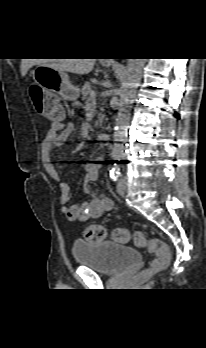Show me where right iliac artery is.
Returning <instances> with one entry per match:
<instances>
[{
    "label": "right iliac artery",
    "instance_id": "right-iliac-artery-1",
    "mask_svg": "<svg viewBox=\"0 0 206 348\" xmlns=\"http://www.w3.org/2000/svg\"><path fill=\"white\" fill-rule=\"evenodd\" d=\"M120 175L119 168L115 167L110 171V177L113 181H116Z\"/></svg>",
    "mask_w": 206,
    "mask_h": 348
}]
</instances>
